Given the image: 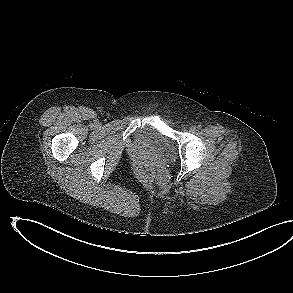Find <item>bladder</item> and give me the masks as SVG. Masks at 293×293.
Instances as JSON below:
<instances>
[{
    "mask_svg": "<svg viewBox=\"0 0 293 293\" xmlns=\"http://www.w3.org/2000/svg\"><path fill=\"white\" fill-rule=\"evenodd\" d=\"M138 139L141 144L152 149L163 159L172 158L175 154L176 149L172 140L155 127L143 128Z\"/></svg>",
    "mask_w": 293,
    "mask_h": 293,
    "instance_id": "31cf9c89",
    "label": "bladder"
}]
</instances>
